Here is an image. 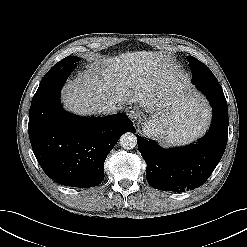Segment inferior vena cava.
<instances>
[{
	"mask_svg": "<svg viewBox=\"0 0 247 247\" xmlns=\"http://www.w3.org/2000/svg\"><path fill=\"white\" fill-rule=\"evenodd\" d=\"M100 109L104 114H114L121 109V105L114 99L101 104Z\"/></svg>",
	"mask_w": 247,
	"mask_h": 247,
	"instance_id": "602c4592",
	"label": "inferior vena cava"
}]
</instances>
